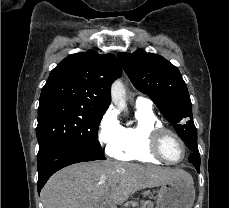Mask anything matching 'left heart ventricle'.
I'll return each mask as SVG.
<instances>
[{
  "instance_id": "obj_1",
  "label": "left heart ventricle",
  "mask_w": 229,
  "mask_h": 208,
  "mask_svg": "<svg viewBox=\"0 0 229 208\" xmlns=\"http://www.w3.org/2000/svg\"><path fill=\"white\" fill-rule=\"evenodd\" d=\"M173 138H177L175 135L168 133L162 139L163 147L161 152L164 153V157L168 160L178 161L184 156V147H178V143H173Z\"/></svg>"
}]
</instances>
